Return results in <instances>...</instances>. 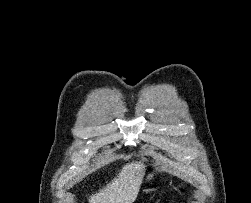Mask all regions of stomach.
I'll return each instance as SVG.
<instances>
[{"label":"stomach","mask_w":251,"mask_h":203,"mask_svg":"<svg viewBox=\"0 0 251 203\" xmlns=\"http://www.w3.org/2000/svg\"><path fill=\"white\" fill-rule=\"evenodd\" d=\"M154 177V173H149L147 176H146V181H151Z\"/></svg>","instance_id":"obj_1"}]
</instances>
